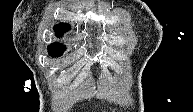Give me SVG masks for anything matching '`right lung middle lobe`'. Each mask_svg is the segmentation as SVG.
<instances>
[{"instance_id":"dd1d6c3e","label":"right lung middle lobe","mask_w":193,"mask_h":112,"mask_svg":"<svg viewBox=\"0 0 193 112\" xmlns=\"http://www.w3.org/2000/svg\"><path fill=\"white\" fill-rule=\"evenodd\" d=\"M65 46L59 43H53L48 47V53L52 57H59L63 54Z\"/></svg>"}]
</instances>
